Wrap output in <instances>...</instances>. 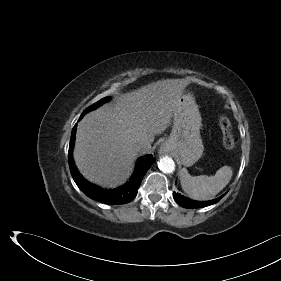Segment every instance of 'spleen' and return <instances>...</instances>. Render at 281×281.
Returning a JSON list of instances; mask_svg holds the SVG:
<instances>
[{
  "mask_svg": "<svg viewBox=\"0 0 281 281\" xmlns=\"http://www.w3.org/2000/svg\"><path fill=\"white\" fill-rule=\"evenodd\" d=\"M233 172L231 167L223 166L214 176H191L186 168L180 171L182 189L194 200H210L222 191L230 182Z\"/></svg>",
  "mask_w": 281,
  "mask_h": 281,
  "instance_id": "obj_1",
  "label": "spleen"
}]
</instances>
